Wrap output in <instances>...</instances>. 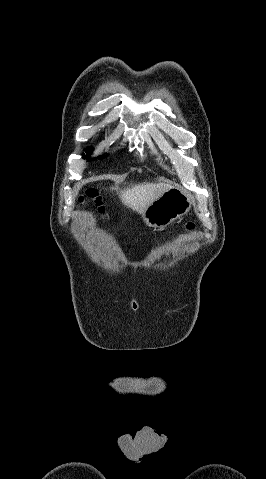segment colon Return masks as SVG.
Returning a JSON list of instances; mask_svg holds the SVG:
<instances>
[{
	"label": "colon",
	"instance_id": "1",
	"mask_svg": "<svg viewBox=\"0 0 266 479\" xmlns=\"http://www.w3.org/2000/svg\"><path fill=\"white\" fill-rule=\"evenodd\" d=\"M79 203H80L81 209L92 207L93 209L97 211L99 216L102 217V219H104V207L102 205V201L96 190L94 189L88 190L84 196L80 197ZM194 227L195 226L193 223H188L186 225L187 230H192Z\"/></svg>",
	"mask_w": 266,
	"mask_h": 479
}]
</instances>
